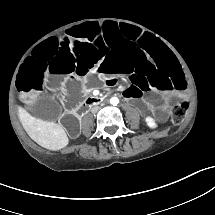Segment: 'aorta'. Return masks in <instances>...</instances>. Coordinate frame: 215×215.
<instances>
[{"label":"aorta","mask_w":215,"mask_h":215,"mask_svg":"<svg viewBox=\"0 0 215 215\" xmlns=\"http://www.w3.org/2000/svg\"><path fill=\"white\" fill-rule=\"evenodd\" d=\"M119 103V99L117 97H112L110 99V104L116 106Z\"/></svg>","instance_id":"aorta-1"}]
</instances>
